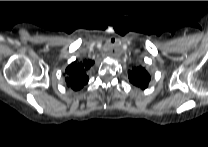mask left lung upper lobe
Instances as JSON below:
<instances>
[{
    "label": "left lung upper lobe",
    "mask_w": 208,
    "mask_h": 147,
    "mask_svg": "<svg viewBox=\"0 0 208 147\" xmlns=\"http://www.w3.org/2000/svg\"><path fill=\"white\" fill-rule=\"evenodd\" d=\"M129 81L137 87L146 89L150 81V75L144 67H134L131 71H128Z\"/></svg>",
    "instance_id": "5c2ea615"
}]
</instances>
